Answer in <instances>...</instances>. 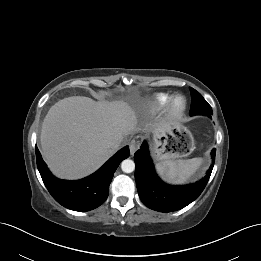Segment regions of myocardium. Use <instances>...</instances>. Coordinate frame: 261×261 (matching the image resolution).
Listing matches in <instances>:
<instances>
[{"label": "myocardium", "mask_w": 261, "mask_h": 261, "mask_svg": "<svg viewBox=\"0 0 261 261\" xmlns=\"http://www.w3.org/2000/svg\"><path fill=\"white\" fill-rule=\"evenodd\" d=\"M186 110V99L181 95L172 97L168 106V115L172 119L180 118Z\"/></svg>", "instance_id": "1"}]
</instances>
